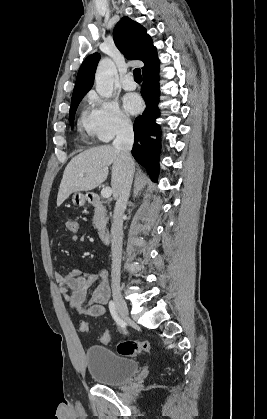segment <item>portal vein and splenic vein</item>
<instances>
[{
  "mask_svg": "<svg viewBox=\"0 0 267 419\" xmlns=\"http://www.w3.org/2000/svg\"><path fill=\"white\" fill-rule=\"evenodd\" d=\"M112 194V189L110 187H105L101 190V196L103 198H110Z\"/></svg>",
  "mask_w": 267,
  "mask_h": 419,
  "instance_id": "1",
  "label": "portal vein and splenic vein"
}]
</instances>
